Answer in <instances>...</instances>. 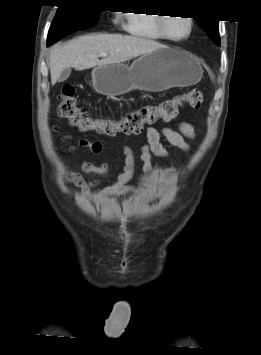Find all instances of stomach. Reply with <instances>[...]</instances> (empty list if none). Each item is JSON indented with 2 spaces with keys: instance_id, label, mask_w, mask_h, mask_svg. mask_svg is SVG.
<instances>
[{
  "instance_id": "0dacf381",
  "label": "stomach",
  "mask_w": 261,
  "mask_h": 355,
  "mask_svg": "<svg viewBox=\"0 0 261 355\" xmlns=\"http://www.w3.org/2000/svg\"><path fill=\"white\" fill-rule=\"evenodd\" d=\"M203 69L189 53L167 46L141 55L130 66L114 63L92 70L94 89L106 96H118L132 90L161 92L172 87L198 83Z\"/></svg>"
}]
</instances>
